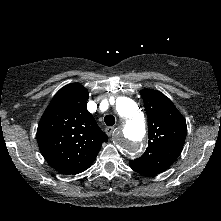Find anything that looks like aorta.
<instances>
[{
    "label": "aorta",
    "instance_id": "1",
    "mask_svg": "<svg viewBox=\"0 0 221 221\" xmlns=\"http://www.w3.org/2000/svg\"><path fill=\"white\" fill-rule=\"evenodd\" d=\"M116 111L123 124L116 135L119 149L130 157L140 154L146 132L145 118L138 105L130 98L119 97Z\"/></svg>",
    "mask_w": 221,
    "mask_h": 221
}]
</instances>
